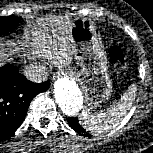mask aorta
Returning <instances> with one entry per match:
<instances>
[{"label":"aorta","mask_w":153,"mask_h":153,"mask_svg":"<svg viewBox=\"0 0 153 153\" xmlns=\"http://www.w3.org/2000/svg\"><path fill=\"white\" fill-rule=\"evenodd\" d=\"M56 101L62 112L68 116L76 115L83 104L80 89L74 81L68 78H60L54 85Z\"/></svg>","instance_id":"aorta-1"}]
</instances>
